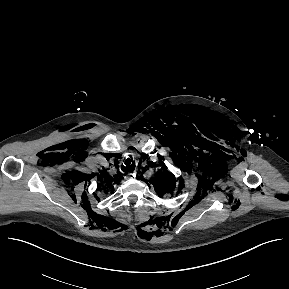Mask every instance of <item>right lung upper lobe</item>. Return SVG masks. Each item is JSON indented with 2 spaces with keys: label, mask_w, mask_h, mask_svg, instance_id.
Returning <instances> with one entry per match:
<instances>
[{
  "label": "right lung upper lobe",
  "mask_w": 289,
  "mask_h": 289,
  "mask_svg": "<svg viewBox=\"0 0 289 289\" xmlns=\"http://www.w3.org/2000/svg\"><path fill=\"white\" fill-rule=\"evenodd\" d=\"M98 180H99V184H98L99 189L104 190V192H107V190L105 189L112 188L113 183H117L116 180L109 178L106 172H104L102 176H99Z\"/></svg>",
  "instance_id": "cb5924a9"
}]
</instances>
